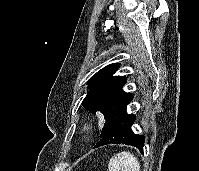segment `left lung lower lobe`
<instances>
[{
  "label": "left lung lower lobe",
  "mask_w": 199,
  "mask_h": 171,
  "mask_svg": "<svg viewBox=\"0 0 199 171\" xmlns=\"http://www.w3.org/2000/svg\"><path fill=\"white\" fill-rule=\"evenodd\" d=\"M133 95L126 99L113 113L110 115L104 124L101 132V140L94 148L111 144H126L137 147L143 152L144 136L134 134L132 125L135 122L136 116L128 114L126 107L132 101Z\"/></svg>",
  "instance_id": "1"
}]
</instances>
